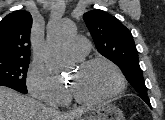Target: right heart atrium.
<instances>
[{
    "label": "right heart atrium",
    "mask_w": 165,
    "mask_h": 120,
    "mask_svg": "<svg viewBox=\"0 0 165 120\" xmlns=\"http://www.w3.org/2000/svg\"><path fill=\"white\" fill-rule=\"evenodd\" d=\"M27 87L30 94L41 101L62 104L68 98L67 89L42 67L30 69Z\"/></svg>",
    "instance_id": "right-heart-atrium-1"
}]
</instances>
